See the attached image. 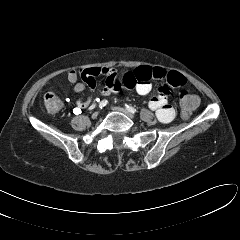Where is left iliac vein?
Segmentation results:
<instances>
[{"label":"left iliac vein","instance_id":"1","mask_svg":"<svg viewBox=\"0 0 240 240\" xmlns=\"http://www.w3.org/2000/svg\"><path fill=\"white\" fill-rule=\"evenodd\" d=\"M112 110L117 111V112H120V113L128 116L129 118H134V115H133L131 112L125 110V109L122 108V107H112Z\"/></svg>","mask_w":240,"mask_h":240}]
</instances>
